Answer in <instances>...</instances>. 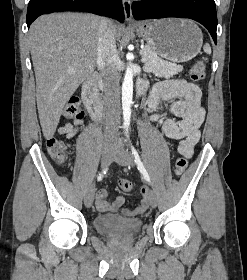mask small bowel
<instances>
[{
	"label": "small bowel",
	"instance_id": "c3829d8e",
	"mask_svg": "<svg viewBox=\"0 0 247 280\" xmlns=\"http://www.w3.org/2000/svg\"><path fill=\"white\" fill-rule=\"evenodd\" d=\"M201 89L185 80H167L156 84L150 94L148 103L152 119L157 122L165 136L172 140L180 141L178 151L185 158H191L194 147L200 139V126L205 117V110L200 105ZM176 100L171 111L180 120L162 119L155 112L160 101ZM83 118L74 119L58 129V132L68 139H73L79 132ZM142 200L134 211L123 210V213H143L148 207L147 190L142 189ZM110 194L105 189H100L96 195L95 206L100 212H118L125 202L124 197L118 196L109 200Z\"/></svg>",
	"mask_w": 247,
	"mask_h": 280
}]
</instances>
